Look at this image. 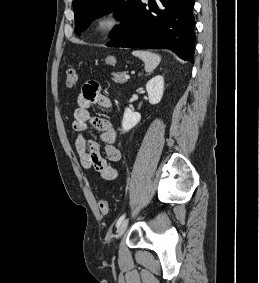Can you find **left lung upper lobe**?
I'll use <instances>...</instances> for the list:
<instances>
[{
    "instance_id": "left-lung-upper-lobe-1",
    "label": "left lung upper lobe",
    "mask_w": 259,
    "mask_h": 283,
    "mask_svg": "<svg viewBox=\"0 0 259 283\" xmlns=\"http://www.w3.org/2000/svg\"><path fill=\"white\" fill-rule=\"evenodd\" d=\"M135 2L136 0H73L75 32L80 35L91 21L113 9H115L114 15L125 23ZM121 28H117L111 36H114Z\"/></svg>"
}]
</instances>
